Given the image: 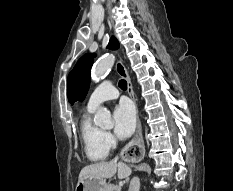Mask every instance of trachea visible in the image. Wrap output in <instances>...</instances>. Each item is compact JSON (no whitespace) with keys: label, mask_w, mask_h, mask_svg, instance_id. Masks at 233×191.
Returning a JSON list of instances; mask_svg holds the SVG:
<instances>
[{"label":"trachea","mask_w":233,"mask_h":191,"mask_svg":"<svg viewBox=\"0 0 233 191\" xmlns=\"http://www.w3.org/2000/svg\"><path fill=\"white\" fill-rule=\"evenodd\" d=\"M119 87L122 89V90H126L127 89V82L126 80L122 79L119 81Z\"/></svg>","instance_id":"3493384b"}]
</instances>
